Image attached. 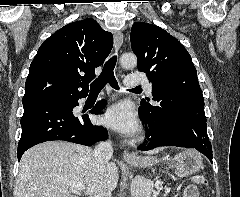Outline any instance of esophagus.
<instances>
[{
	"label": "esophagus",
	"mask_w": 240,
	"mask_h": 197,
	"mask_svg": "<svg viewBox=\"0 0 240 197\" xmlns=\"http://www.w3.org/2000/svg\"><path fill=\"white\" fill-rule=\"evenodd\" d=\"M123 43V34L121 31H117L114 35V50L118 52ZM124 160H135L137 157L134 154L129 153L128 151L123 152Z\"/></svg>",
	"instance_id": "obj_1"
}]
</instances>
